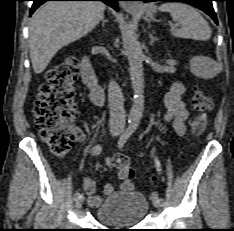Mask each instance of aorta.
I'll use <instances>...</instances> for the list:
<instances>
[{"label":"aorta","instance_id":"762f6f07","mask_svg":"<svg viewBox=\"0 0 234 231\" xmlns=\"http://www.w3.org/2000/svg\"><path fill=\"white\" fill-rule=\"evenodd\" d=\"M127 57L129 62L130 76L134 90L133 106L128 120L130 123H139L144 111V77H143V51L134 35L127 41Z\"/></svg>","mask_w":234,"mask_h":231}]
</instances>
